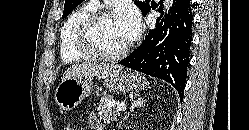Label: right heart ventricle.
Wrapping results in <instances>:
<instances>
[{"label":"right heart ventricle","mask_w":249,"mask_h":130,"mask_svg":"<svg viewBox=\"0 0 249 130\" xmlns=\"http://www.w3.org/2000/svg\"><path fill=\"white\" fill-rule=\"evenodd\" d=\"M98 9L93 2H85L77 7L65 20L59 36V51L61 59L66 63L87 59L77 45V33L83 20Z\"/></svg>","instance_id":"e07e8e85"}]
</instances>
